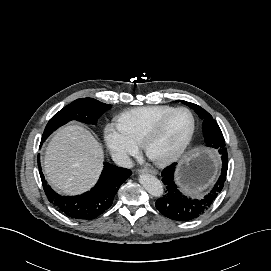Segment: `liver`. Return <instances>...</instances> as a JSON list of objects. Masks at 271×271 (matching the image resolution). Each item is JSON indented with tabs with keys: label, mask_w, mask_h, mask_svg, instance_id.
Segmentation results:
<instances>
[{
	"label": "liver",
	"mask_w": 271,
	"mask_h": 271,
	"mask_svg": "<svg viewBox=\"0 0 271 271\" xmlns=\"http://www.w3.org/2000/svg\"><path fill=\"white\" fill-rule=\"evenodd\" d=\"M101 144L85 128L60 129L46 148L44 170L50 184L65 195L89 190L103 169Z\"/></svg>",
	"instance_id": "liver-1"
}]
</instances>
